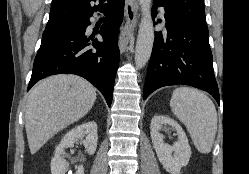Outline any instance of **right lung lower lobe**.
Returning a JSON list of instances; mask_svg holds the SVG:
<instances>
[{
	"label": "right lung lower lobe",
	"mask_w": 249,
	"mask_h": 174,
	"mask_svg": "<svg viewBox=\"0 0 249 174\" xmlns=\"http://www.w3.org/2000/svg\"><path fill=\"white\" fill-rule=\"evenodd\" d=\"M123 8L124 0H115L104 11L106 19L100 34L105 41L92 43L96 53L87 48L90 39L85 36V30L90 25V17L70 20L57 27L48 39L41 42L27 90L50 75L76 74L91 82L111 106L120 56L117 37Z\"/></svg>",
	"instance_id": "obj_1"
}]
</instances>
